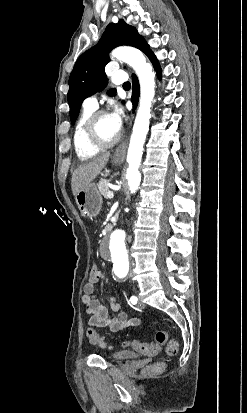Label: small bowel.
<instances>
[{
  "label": "small bowel",
  "instance_id": "1",
  "mask_svg": "<svg viewBox=\"0 0 247 413\" xmlns=\"http://www.w3.org/2000/svg\"><path fill=\"white\" fill-rule=\"evenodd\" d=\"M98 282H87L84 285L82 302L88 314V325L93 327H108L112 332L129 330L140 324V318H129L128 315L120 311V304L116 301L109 289V300L111 309L118 314L113 317L109 311L96 298Z\"/></svg>",
  "mask_w": 247,
  "mask_h": 413
}]
</instances>
